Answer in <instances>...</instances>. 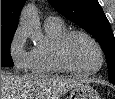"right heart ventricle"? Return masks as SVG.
<instances>
[{"mask_svg": "<svg viewBox=\"0 0 115 99\" xmlns=\"http://www.w3.org/2000/svg\"><path fill=\"white\" fill-rule=\"evenodd\" d=\"M44 31L45 42L30 51L28 69L34 75L62 73L65 70L55 59V48L59 39L69 30L61 20H46Z\"/></svg>", "mask_w": 115, "mask_h": 99, "instance_id": "1", "label": "right heart ventricle"}]
</instances>
